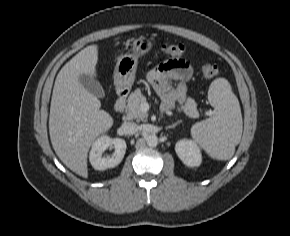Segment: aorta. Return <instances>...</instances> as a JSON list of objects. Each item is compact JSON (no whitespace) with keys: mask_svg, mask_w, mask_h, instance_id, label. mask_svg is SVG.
<instances>
[{"mask_svg":"<svg viewBox=\"0 0 290 236\" xmlns=\"http://www.w3.org/2000/svg\"><path fill=\"white\" fill-rule=\"evenodd\" d=\"M147 145L155 147L158 145V137L155 134H151L146 138Z\"/></svg>","mask_w":290,"mask_h":236,"instance_id":"obj_1","label":"aorta"}]
</instances>
